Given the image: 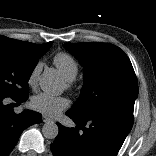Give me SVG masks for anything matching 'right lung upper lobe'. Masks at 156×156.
I'll return each mask as SVG.
<instances>
[{"label": "right lung upper lobe", "instance_id": "1", "mask_svg": "<svg viewBox=\"0 0 156 156\" xmlns=\"http://www.w3.org/2000/svg\"><path fill=\"white\" fill-rule=\"evenodd\" d=\"M51 44L52 42L38 45V44H33L25 41L10 39L0 35V45H6L18 49L31 57L42 56L44 53L47 52Z\"/></svg>", "mask_w": 156, "mask_h": 156}]
</instances>
